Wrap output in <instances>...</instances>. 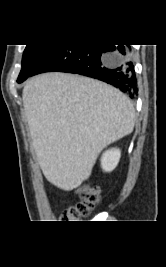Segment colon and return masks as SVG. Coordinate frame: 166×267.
<instances>
[{
	"mask_svg": "<svg viewBox=\"0 0 166 267\" xmlns=\"http://www.w3.org/2000/svg\"><path fill=\"white\" fill-rule=\"evenodd\" d=\"M79 194L80 201L63 212L62 222H78L81 218L89 216L101 202L100 191L96 186L84 185Z\"/></svg>",
	"mask_w": 166,
	"mask_h": 267,
	"instance_id": "colon-1",
	"label": "colon"
}]
</instances>
